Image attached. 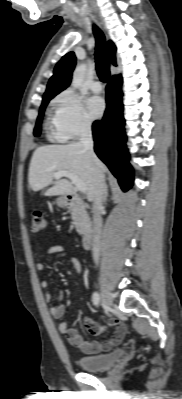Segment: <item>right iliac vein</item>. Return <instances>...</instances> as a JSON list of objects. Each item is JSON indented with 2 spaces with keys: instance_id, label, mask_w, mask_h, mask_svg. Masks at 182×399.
<instances>
[{
  "instance_id": "1",
  "label": "right iliac vein",
  "mask_w": 182,
  "mask_h": 399,
  "mask_svg": "<svg viewBox=\"0 0 182 399\" xmlns=\"http://www.w3.org/2000/svg\"><path fill=\"white\" fill-rule=\"evenodd\" d=\"M101 295H102V302H103L104 306L107 309L111 308L113 305L112 296L104 285H101Z\"/></svg>"
}]
</instances>
